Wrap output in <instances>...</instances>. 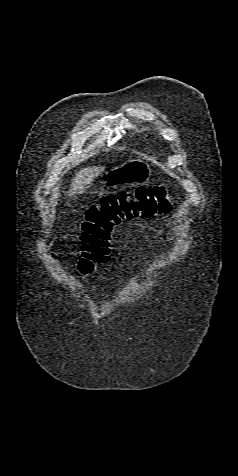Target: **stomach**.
<instances>
[{
	"label": "stomach",
	"mask_w": 238,
	"mask_h": 476,
	"mask_svg": "<svg viewBox=\"0 0 238 476\" xmlns=\"http://www.w3.org/2000/svg\"><path fill=\"white\" fill-rule=\"evenodd\" d=\"M146 164H124L106 172L101 183L106 187H114L124 183H137L138 179H146Z\"/></svg>",
	"instance_id": "1"
}]
</instances>
